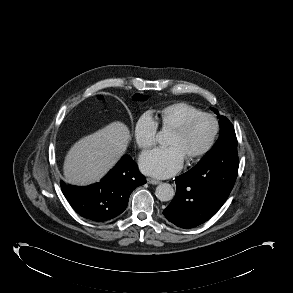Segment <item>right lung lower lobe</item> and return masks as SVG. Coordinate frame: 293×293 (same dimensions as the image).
<instances>
[{
	"instance_id": "obj_1",
	"label": "right lung lower lobe",
	"mask_w": 293,
	"mask_h": 293,
	"mask_svg": "<svg viewBox=\"0 0 293 293\" xmlns=\"http://www.w3.org/2000/svg\"><path fill=\"white\" fill-rule=\"evenodd\" d=\"M146 183L137 164L124 155L99 183L69 186L60 182L62 192L72 208L82 217L102 222L120 215L127 207L131 192Z\"/></svg>"
}]
</instances>
